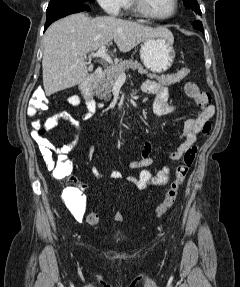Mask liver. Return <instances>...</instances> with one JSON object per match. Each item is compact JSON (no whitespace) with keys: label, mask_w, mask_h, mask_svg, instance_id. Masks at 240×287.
<instances>
[{"label":"liver","mask_w":240,"mask_h":287,"mask_svg":"<svg viewBox=\"0 0 240 287\" xmlns=\"http://www.w3.org/2000/svg\"><path fill=\"white\" fill-rule=\"evenodd\" d=\"M154 37H173L165 27H149L112 16L90 18L77 13L53 23L43 37V86L46 96L83 82L85 57L114 40L121 52Z\"/></svg>","instance_id":"obj_1"}]
</instances>
